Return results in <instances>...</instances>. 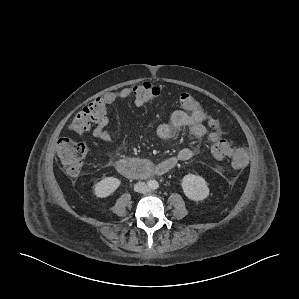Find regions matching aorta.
<instances>
[{
    "mask_svg": "<svg viewBox=\"0 0 299 299\" xmlns=\"http://www.w3.org/2000/svg\"><path fill=\"white\" fill-rule=\"evenodd\" d=\"M158 186H159V184H158L157 181H155V180L151 181V183H150V187H151L152 189H157Z\"/></svg>",
    "mask_w": 299,
    "mask_h": 299,
    "instance_id": "762f6f07",
    "label": "aorta"
}]
</instances>
